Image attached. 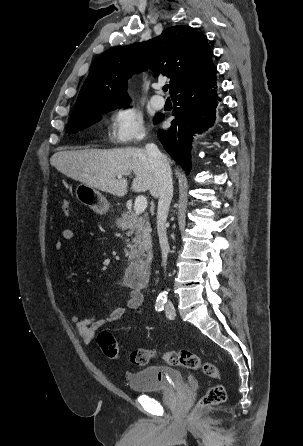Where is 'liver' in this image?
<instances>
[{"instance_id": "obj_1", "label": "liver", "mask_w": 303, "mask_h": 446, "mask_svg": "<svg viewBox=\"0 0 303 446\" xmlns=\"http://www.w3.org/2000/svg\"><path fill=\"white\" fill-rule=\"evenodd\" d=\"M50 162L67 177L118 197H123L128 188L127 179L118 176L133 172L135 178L132 190H149L152 196L158 197L157 181L146 149L143 148L59 151L51 157Z\"/></svg>"}]
</instances>
